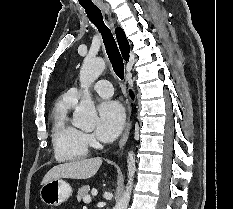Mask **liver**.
<instances>
[{
	"instance_id": "1",
	"label": "liver",
	"mask_w": 233,
	"mask_h": 209,
	"mask_svg": "<svg viewBox=\"0 0 233 209\" xmlns=\"http://www.w3.org/2000/svg\"><path fill=\"white\" fill-rule=\"evenodd\" d=\"M102 164L101 158L75 160L59 164L51 168L42 180V185L47 182L59 179H88L94 176Z\"/></svg>"
}]
</instances>
